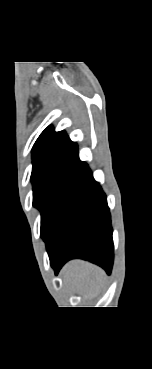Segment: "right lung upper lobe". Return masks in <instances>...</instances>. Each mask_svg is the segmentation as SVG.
Masks as SVG:
<instances>
[{
    "mask_svg": "<svg viewBox=\"0 0 152 369\" xmlns=\"http://www.w3.org/2000/svg\"><path fill=\"white\" fill-rule=\"evenodd\" d=\"M33 168L79 164L78 146L72 142L64 131L55 132L52 126H48L36 140L32 149Z\"/></svg>",
    "mask_w": 152,
    "mask_h": 369,
    "instance_id": "cb5924a9",
    "label": "right lung upper lobe"
}]
</instances>
